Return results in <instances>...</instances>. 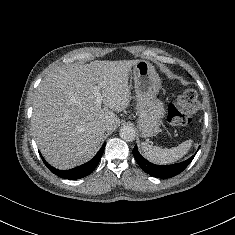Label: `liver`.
<instances>
[{
  "label": "liver",
  "mask_w": 235,
  "mask_h": 235,
  "mask_svg": "<svg viewBox=\"0 0 235 235\" xmlns=\"http://www.w3.org/2000/svg\"><path fill=\"white\" fill-rule=\"evenodd\" d=\"M139 60L92 61L64 66L39 84L33 101L32 130L45 159L59 169L89 161L105 131L118 127L114 112L130 102L129 73ZM99 87L104 108L95 100ZM102 125H107L106 130Z\"/></svg>",
  "instance_id": "1"
}]
</instances>
